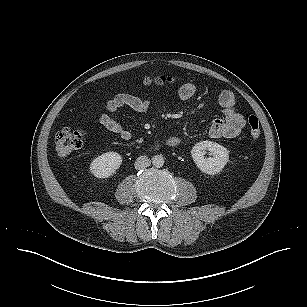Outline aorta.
Masks as SVG:
<instances>
[{
	"mask_svg": "<svg viewBox=\"0 0 307 307\" xmlns=\"http://www.w3.org/2000/svg\"><path fill=\"white\" fill-rule=\"evenodd\" d=\"M165 163V160H164V157L162 155H155L153 158H152V164L153 166L157 167V168H160L164 165Z\"/></svg>",
	"mask_w": 307,
	"mask_h": 307,
	"instance_id": "1",
	"label": "aorta"
}]
</instances>
